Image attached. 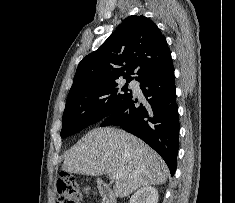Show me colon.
<instances>
[{
	"label": "colon",
	"instance_id": "colon-1",
	"mask_svg": "<svg viewBox=\"0 0 235 203\" xmlns=\"http://www.w3.org/2000/svg\"><path fill=\"white\" fill-rule=\"evenodd\" d=\"M57 202L56 203H80L81 192L70 175L61 176L57 181Z\"/></svg>",
	"mask_w": 235,
	"mask_h": 203
}]
</instances>
